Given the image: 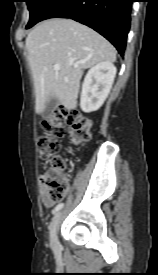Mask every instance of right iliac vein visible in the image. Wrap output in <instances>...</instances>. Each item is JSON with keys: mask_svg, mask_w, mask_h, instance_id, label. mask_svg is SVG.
<instances>
[{"mask_svg": "<svg viewBox=\"0 0 158 275\" xmlns=\"http://www.w3.org/2000/svg\"><path fill=\"white\" fill-rule=\"evenodd\" d=\"M61 212H57L51 222H50V225H49V234H50V243H51V246L54 248V249H57L58 248V237H57V229H58V225H59V222H60V219H61Z\"/></svg>", "mask_w": 158, "mask_h": 275, "instance_id": "63e3f726", "label": "right iliac vein"}]
</instances>
